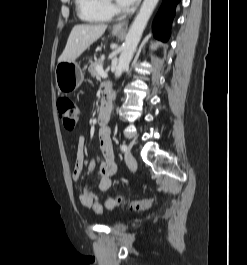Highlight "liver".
I'll return each mask as SVG.
<instances>
[{"label": "liver", "instance_id": "liver-1", "mask_svg": "<svg viewBox=\"0 0 247 265\" xmlns=\"http://www.w3.org/2000/svg\"><path fill=\"white\" fill-rule=\"evenodd\" d=\"M107 29V25L82 24L73 27L65 46L58 59L59 62L75 61L91 44L99 39Z\"/></svg>", "mask_w": 247, "mask_h": 265}]
</instances>
